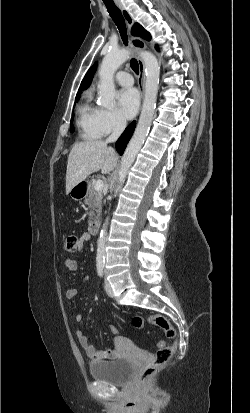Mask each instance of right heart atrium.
<instances>
[{
  "mask_svg": "<svg viewBox=\"0 0 250 413\" xmlns=\"http://www.w3.org/2000/svg\"><path fill=\"white\" fill-rule=\"evenodd\" d=\"M98 124L101 135L106 136L122 131L126 126V120L116 108H100Z\"/></svg>",
  "mask_w": 250,
  "mask_h": 413,
  "instance_id": "d8ad5b80",
  "label": "right heart atrium"
}]
</instances>
